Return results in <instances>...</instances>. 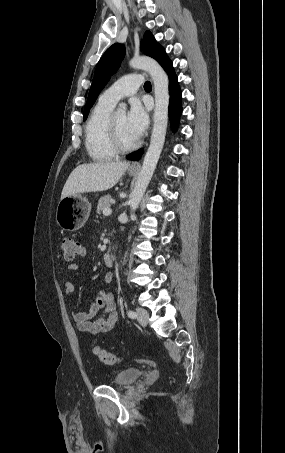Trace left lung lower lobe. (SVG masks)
Masks as SVG:
<instances>
[{
	"instance_id": "left-lung-lower-lobe-1",
	"label": "left lung lower lobe",
	"mask_w": 285,
	"mask_h": 453,
	"mask_svg": "<svg viewBox=\"0 0 285 453\" xmlns=\"http://www.w3.org/2000/svg\"><path fill=\"white\" fill-rule=\"evenodd\" d=\"M159 64L164 68V70L169 75V91H170V104H169V115L171 126L173 130H176L178 127L179 117L182 112L181 106V91L178 85V78L175 75L174 68L171 60L168 58L166 53H164L161 58L158 60ZM143 154V149H140L134 153L126 156L129 160H139Z\"/></svg>"
}]
</instances>
